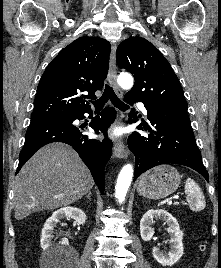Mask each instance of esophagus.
I'll list each match as a JSON object with an SVG mask.
<instances>
[{
	"label": "esophagus",
	"instance_id": "obj_1",
	"mask_svg": "<svg viewBox=\"0 0 221 268\" xmlns=\"http://www.w3.org/2000/svg\"><path fill=\"white\" fill-rule=\"evenodd\" d=\"M116 44L112 43L111 45V54H110V80L111 84L118 94L119 97H123V92L119 88L116 78H117V65H116ZM129 154L128 149L126 148L124 142L122 140H117L114 143L113 147V156L117 158H125Z\"/></svg>",
	"mask_w": 221,
	"mask_h": 268
}]
</instances>
